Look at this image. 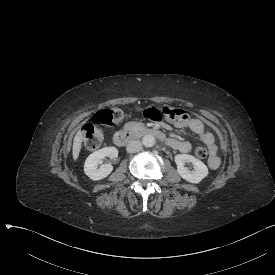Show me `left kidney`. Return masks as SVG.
Segmentation results:
<instances>
[{
	"label": "left kidney",
	"instance_id": "1",
	"mask_svg": "<svg viewBox=\"0 0 275 275\" xmlns=\"http://www.w3.org/2000/svg\"><path fill=\"white\" fill-rule=\"evenodd\" d=\"M177 165V172L187 182L197 184L209 175L207 166L200 160L195 159L189 154H178L174 158ZM190 162L194 165V170L190 171L185 167V163Z\"/></svg>",
	"mask_w": 275,
	"mask_h": 275
}]
</instances>
